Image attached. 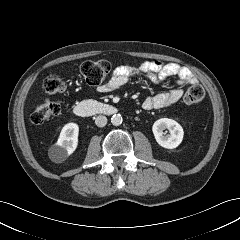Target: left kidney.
Here are the masks:
<instances>
[{"label": "left kidney", "instance_id": "obj_1", "mask_svg": "<svg viewBox=\"0 0 240 240\" xmlns=\"http://www.w3.org/2000/svg\"><path fill=\"white\" fill-rule=\"evenodd\" d=\"M165 129L169 130V135L163 133ZM152 131L157 143L167 149L178 147L183 140V128L173 119L161 118L155 121L152 126Z\"/></svg>", "mask_w": 240, "mask_h": 240}]
</instances>
